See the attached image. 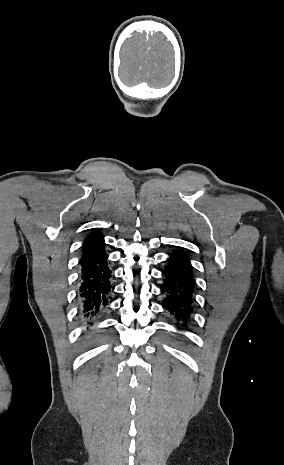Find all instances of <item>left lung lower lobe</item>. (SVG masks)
I'll list each match as a JSON object with an SVG mask.
<instances>
[{"label": "left lung lower lobe", "mask_w": 284, "mask_h": 465, "mask_svg": "<svg viewBox=\"0 0 284 465\" xmlns=\"http://www.w3.org/2000/svg\"><path fill=\"white\" fill-rule=\"evenodd\" d=\"M163 283L160 286L165 295L162 306L170 313L173 325L178 329H186L190 315L193 313V299L195 282L189 257L182 251L171 254L165 262Z\"/></svg>", "instance_id": "left-lung-lower-lobe-1"}]
</instances>
